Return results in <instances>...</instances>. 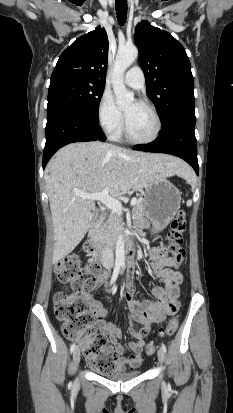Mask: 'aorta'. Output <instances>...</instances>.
Here are the masks:
<instances>
[{
    "label": "aorta",
    "mask_w": 233,
    "mask_h": 413,
    "mask_svg": "<svg viewBox=\"0 0 233 413\" xmlns=\"http://www.w3.org/2000/svg\"><path fill=\"white\" fill-rule=\"evenodd\" d=\"M138 49L135 46L119 48L114 62L112 87L115 94L116 104L126 107L134 101V94L128 91L124 84V73L138 57ZM116 266L125 264V245L122 235L118 236L116 242Z\"/></svg>",
    "instance_id": "obj_1"
}]
</instances>
